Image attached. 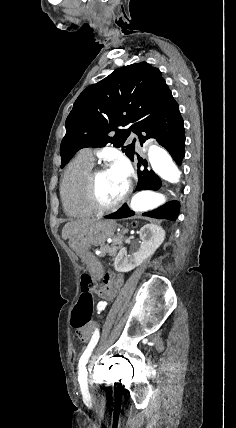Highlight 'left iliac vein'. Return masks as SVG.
Here are the masks:
<instances>
[{"instance_id":"left-iliac-vein-1","label":"left iliac vein","mask_w":236,"mask_h":428,"mask_svg":"<svg viewBox=\"0 0 236 428\" xmlns=\"http://www.w3.org/2000/svg\"><path fill=\"white\" fill-rule=\"evenodd\" d=\"M109 342L107 341V340H101V343H100V347H98L96 350H94L92 353H91V361H90V364H89V367H92V364H93V362L94 361H96V359L98 358V357H100L102 354H103V351H102V349L104 348V346L105 345H107Z\"/></svg>"}]
</instances>
